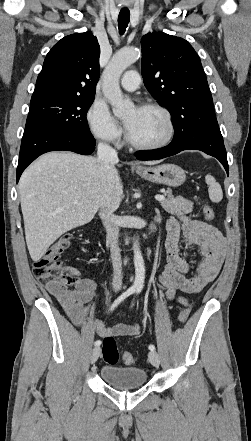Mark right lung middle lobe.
Wrapping results in <instances>:
<instances>
[{"label":"right lung middle lobe","instance_id":"right-lung-middle-lobe-1","mask_svg":"<svg viewBox=\"0 0 251 441\" xmlns=\"http://www.w3.org/2000/svg\"><path fill=\"white\" fill-rule=\"evenodd\" d=\"M94 96L49 97L31 101L27 121H37L76 135L91 132L86 114Z\"/></svg>","mask_w":251,"mask_h":441}]
</instances>
